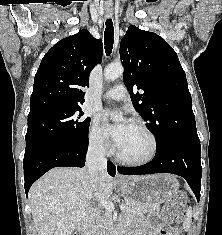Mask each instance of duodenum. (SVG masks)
I'll return each mask as SVG.
<instances>
[{"label":"duodenum","mask_w":222,"mask_h":235,"mask_svg":"<svg viewBox=\"0 0 222 235\" xmlns=\"http://www.w3.org/2000/svg\"><path fill=\"white\" fill-rule=\"evenodd\" d=\"M97 213V210H94L92 212V215H95ZM79 232L81 233V235H86L87 234V224L86 223H82L80 226H79ZM110 235H118V234H110Z\"/></svg>","instance_id":"410a0bca"}]
</instances>
